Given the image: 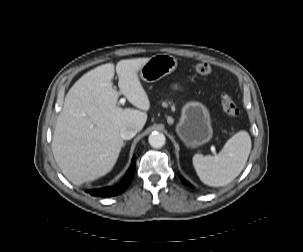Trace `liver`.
I'll return each mask as SVG.
<instances>
[{
  "label": "liver",
  "instance_id": "6515ba94",
  "mask_svg": "<svg viewBox=\"0 0 303 252\" xmlns=\"http://www.w3.org/2000/svg\"><path fill=\"white\" fill-rule=\"evenodd\" d=\"M149 59L117 63L119 92L113 88V63L90 70L68 91L57 118L52 151L70 182L80 185L109 173L124 144L121 128L135 126L140 131L144 127L150 102L138 72ZM119 94L142 111L119 107Z\"/></svg>",
  "mask_w": 303,
  "mask_h": 252
}]
</instances>
